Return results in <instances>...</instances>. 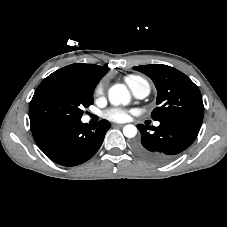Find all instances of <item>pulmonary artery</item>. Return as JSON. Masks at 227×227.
Listing matches in <instances>:
<instances>
[{
    "instance_id": "pulmonary-artery-1",
    "label": "pulmonary artery",
    "mask_w": 227,
    "mask_h": 227,
    "mask_svg": "<svg viewBox=\"0 0 227 227\" xmlns=\"http://www.w3.org/2000/svg\"><path fill=\"white\" fill-rule=\"evenodd\" d=\"M131 90L136 98L142 99L149 94L150 88L147 84H139L133 87ZM156 125L158 126L159 123L157 122Z\"/></svg>"
}]
</instances>
